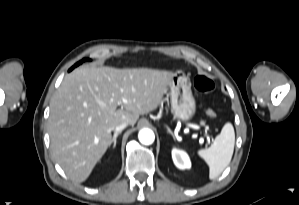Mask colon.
Returning a JSON list of instances; mask_svg holds the SVG:
<instances>
[{
	"mask_svg": "<svg viewBox=\"0 0 299 205\" xmlns=\"http://www.w3.org/2000/svg\"><path fill=\"white\" fill-rule=\"evenodd\" d=\"M194 86L203 94H210L214 90V82L206 75L196 76L194 79ZM206 113L210 118H215L216 116L215 111L211 108H208Z\"/></svg>",
	"mask_w": 299,
	"mask_h": 205,
	"instance_id": "obj_1",
	"label": "colon"
}]
</instances>
